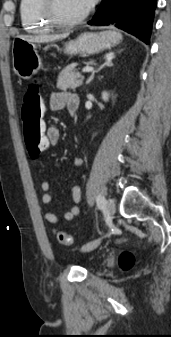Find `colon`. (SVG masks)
Segmentation results:
<instances>
[{"mask_svg":"<svg viewBox=\"0 0 171 337\" xmlns=\"http://www.w3.org/2000/svg\"><path fill=\"white\" fill-rule=\"evenodd\" d=\"M47 104V100H41L37 83L29 84L23 96L21 115L23 119L25 147L33 158L40 155L49 146V141L44 136L43 125L45 121L42 118V116L47 115V110L42 109V107H47ZM53 234L60 244L66 246L73 244V238L68 233L54 230ZM134 262L135 258L131 252L124 251L121 253L119 263L122 268H131Z\"/></svg>","mask_w":171,"mask_h":337,"instance_id":"colon-1","label":"colon"}]
</instances>
